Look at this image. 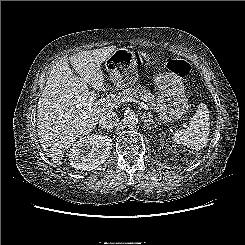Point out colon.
<instances>
[{
  "label": "colon",
  "instance_id": "5ec220e1",
  "mask_svg": "<svg viewBox=\"0 0 245 245\" xmlns=\"http://www.w3.org/2000/svg\"><path fill=\"white\" fill-rule=\"evenodd\" d=\"M165 65L168 70L182 78L188 76L191 72L190 65L186 61L181 59L168 58L165 61Z\"/></svg>",
  "mask_w": 245,
  "mask_h": 245
}]
</instances>
